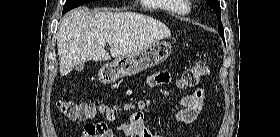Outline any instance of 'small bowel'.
I'll return each mask as SVG.
<instances>
[{
  "label": "small bowel",
  "mask_w": 280,
  "mask_h": 137,
  "mask_svg": "<svg viewBox=\"0 0 280 137\" xmlns=\"http://www.w3.org/2000/svg\"><path fill=\"white\" fill-rule=\"evenodd\" d=\"M171 82V76L167 72L153 73L148 76L147 84L150 87L162 86ZM206 91L202 87H197L193 93L182 97L179 101L181 109L174 115V121L181 124L195 122L204 106ZM106 121L84 125L81 137H114L115 130L130 137H160L151 132L144 124L145 114L141 110H136L131 114L130 121L119 124L113 129L109 124L115 122L116 115L112 109L106 110Z\"/></svg>",
  "instance_id": "small-bowel-1"
}]
</instances>
